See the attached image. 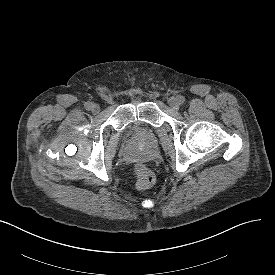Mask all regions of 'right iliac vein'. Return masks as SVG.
<instances>
[{"mask_svg": "<svg viewBox=\"0 0 275 275\" xmlns=\"http://www.w3.org/2000/svg\"><path fill=\"white\" fill-rule=\"evenodd\" d=\"M91 111H92L94 114L99 113V111H100V106H99L98 104H93V103H92Z\"/></svg>", "mask_w": 275, "mask_h": 275, "instance_id": "right-iliac-vein-1", "label": "right iliac vein"}]
</instances>
